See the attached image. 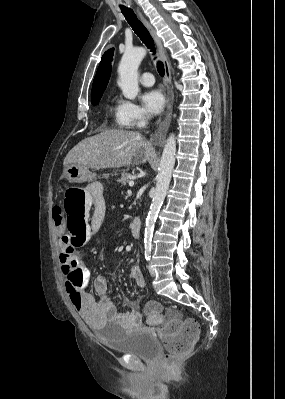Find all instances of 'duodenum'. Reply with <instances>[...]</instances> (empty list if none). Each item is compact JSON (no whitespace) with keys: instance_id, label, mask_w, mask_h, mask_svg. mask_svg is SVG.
<instances>
[{"instance_id":"410a0bca","label":"duodenum","mask_w":285,"mask_h":399,"mask_svg":"<svg viewBox=\"0 0 285 399\" xmlns=\"http://www.w3.org/2000/svg\"><path fill=\"white\" fill-rule=\"evenodd\" d=\"M132 236L135 240H139L141 238L142 231V223L139 217H135L130 225Z\"/></svg>"}]
</instances>
